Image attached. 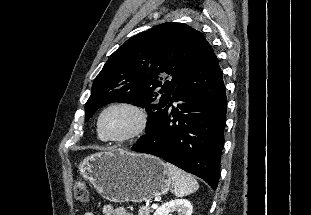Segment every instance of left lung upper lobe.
<instances>
[{
	"label": "left lung upper lobe",
	"instance_id": "5c2ea615",
	"mask_svg": "<svg viewBox=\"0 0 311 215\" xmlns=\"http://www.w3.org/2000/svg\"><path fill=\"white\" fill-rule=\"evenodd\" d=\"M203 34L186 24L163 23L120 46L95 78L85 121L112 102L132 103L148 114L146 132L199 55Z\"/></svg>",
	"mask_w": 311,
	"mask_h": 215
}]
</instances>
